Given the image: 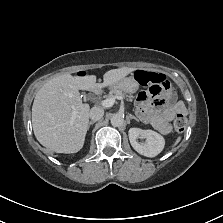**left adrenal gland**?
<instances>
[{"mask_svg":"<svg viewBox=\"0 0 223 223\" xmlns=\"http://www.w3.org/2000/svg\"><path fill=\"white\" fill-rule=\"evenodd\" d=\"M129 119H135L137 122H139V119L136 118L134 115L128 114Z\"/></svg>","mask_w":223,"mask_h":223,"instance_id":"left-adrenal-gland-1","label":"left adrenal gland"}]
</instances>
